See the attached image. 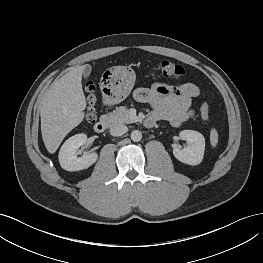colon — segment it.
I'll return each mask as SVG.
<instances>
[{
  "label": "colon",
  "instance_id": "colon-1",
  "mask_svg": "<svg viewBox=\"0 0 263 263\" xmlns=\"http://www.w3.org/2000/svg\"><path fill=\"white\" fill-rule=\"evenodd\" d=\"M158 72L160 75L164 77H172V78H181L184 75V69L181 65L176 64L174 62L168 61V60H163L161 61L158 66H157ZM94 84L89 82L86 85V91L88 93V100H89V110L87 113V120L90 123H93L96 120V114L94 112ZM200 114L203 120L209 121L210 120V112L208 109V106L203 103L200 107Z\"/></svg>",
  "mask_w": 263,
  "mask_h": 263
}]
</instances>
